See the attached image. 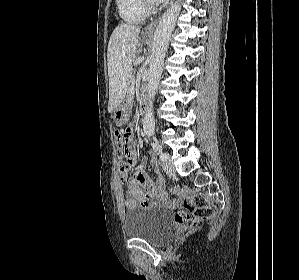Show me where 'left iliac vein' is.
<instances>
[{"label":"left iliac vein","instance_id":"obj_1","mask_svg":"<svg viewBox=\"0 0 299 280\" xmlns=\"http://www.w3.org/2000/svg\"><path fill=\"white\" fill-rule=\"evenodd\" d=\"M162 168L166 172V174L169 176H172L176 173L175 167L173 166V163H172L169 155H168V158L163 161Z\"/></svg>","mask_w":299,"mask_h":280}]
</instances>
